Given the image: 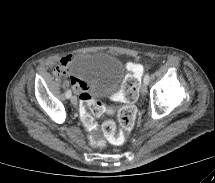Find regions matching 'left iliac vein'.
<instances>
[{
	"label": "left iliac vein",
	"mask_w": 215,
	"mask_h": 183,
	"mask_svg": "<svg viewBox=\"0 0 215 183\" xmlns=\"http://www.w3.org/2000/svg\"><path fill=\"white\" fill-rule=\"evenodd\" d=\"M140 92L142 95H145L147 92V84L144 82L141 86Z\"/></svg>",
	"instance_id": "1"
}]
</instances>
